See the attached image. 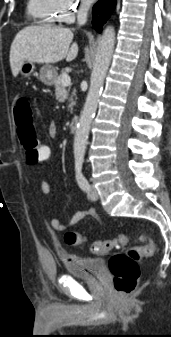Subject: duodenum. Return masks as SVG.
<instances>
[{
    "label": "duodenum",
    "mask_w": 171,
    "mask_h": 337,
    "mask_svg": "<svg viewBox=\"0 0 171 337\" xmlns=\"http://www.w3.org/2000/svg\"><path fill=\"white\" fill-rule=\"evenodd\" d=\"M79 119L77 117H73L69 122V130L71 132H75L78 128Z\"/></svg>",
    "instance_id": "duodenum-1"
}]
</instances>
